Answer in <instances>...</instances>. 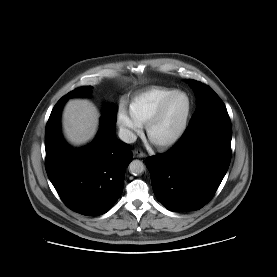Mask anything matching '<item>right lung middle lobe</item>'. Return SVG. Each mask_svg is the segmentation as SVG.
<instances>
[{
	"label": "right lung middle lobe",
	"instance_id": "obj_1",
	"mask_svg": "<svg viewBox=\"0 0 277 277\" xmlns=\"http://www.w3.org/2000/svg\"><path fill=\"white\" fill-rule=\"evenodd\" d=\"M92 88V86L77 88L62 97L59 102L65 103L69 98L72 97H88L91 94ZM103 117L109 120L111 123L115 124L117 119L116 107L114 105L107 106L104 111Z\"/></svg>",
	"mask_w": 277,
	"mask_h": 277
}]
</instances>
